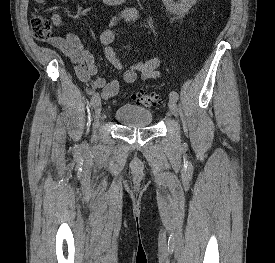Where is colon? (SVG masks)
Returning <instances> with one entry per match:
<instances>
[{
    "label": "colon",
    "instance_id": "1",
    "mask_svg": "<svg viewBox=\"0 0 275 263\" xmlns=\"http://www.w3.org/2000/svg\"><path fill=\"white\" fill-rule=\"evenodd\" d=\"M46 0H38L43 5ZM34 36L39 41H47L52 37V25L48 19L39 13H35L31 20ZM133 100L145 107H155L160 105L161 99L157 94L153 93H133Z\"/></svg>",
    "mask_w": 275,
    "mask_h": 263
}]
</instances>
